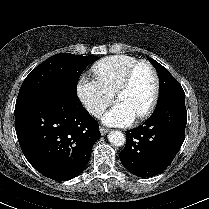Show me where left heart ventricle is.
<instances>
[{
  "mask_svg": "<svg viewBox=\"0 0 209 209\" xmlns=\"http://www.w3.org/2000/svg\"><path fill=\"white\" fill-rule=\"evenodd\" d=\"M154 90V79L150 70L141 67L135 73L130 85L123 90L117 100L124 103L137 116L149 104Z\"/></svg>",
  "mask_w": 209,
  "mask_h": 209,
  "instance_id": "b2bd125f",
  "label": "left heart ventricle"
}]
</instances>
